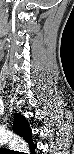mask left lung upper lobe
<instances>
[{
    "label": "left lung upper lobe",
    "instance_id": "5c2ea615",
    "mask_svg": "<svg viewBox=\"0 0 74 154\" xmlns=\"http://www.w3.org/2000/svg\"><path fill=\"white\" fill-rule=\"evenodd\" d=\"M24 123H26V120L23 117L19 116L18 114L16 116H14L13 129L18 135H20L22 137H24V135H25V133H24L25 130H23Z\"/></svg>",
    "mask_w": 74,
    "mask_h": 154
}]
</instances>
